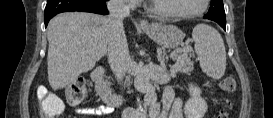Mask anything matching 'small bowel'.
Instances as JSON below:
<instances>
[{
    "instance_id": "c3829d8e",
    "label": "small bowel",
    "mask_w": 273,
    "mask_h": 118,
    "mask_svg": "<svg viewBox=\"0 0 273 118\" xmlns=\"http://www.w3.org/2000/svg\"><path fill=\"white\" fill-rule=\"evenodd\" d=\"M152 118H184L182 111V100L175 97L174 89L171 85H166L162 94V106H160L154 96H150ZM111 112L108 106H97L77 109V113L82 116L99 117Z\"/></svg>"
}]
</instances>
